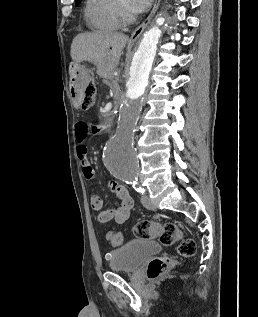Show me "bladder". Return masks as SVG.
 Instances as JSON below:
<instances>
[{
	"label": "bladder",
	"instance_id": "31cf9c89",
	"mask_svg": "<svg viewBox=\"0 0 258 317\" xmlns=\"http://www.w3.org/2000/svg\"><path fill=\"white\" fill-rule=\"evenodd\" d=\"M161 245L147 239H134L109 253V267L113 271H135L145 261L161 252Z\"/></svg>",
	"mask_w": 258,
	"mask_h": 317
}]
</instances>
